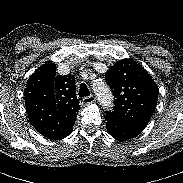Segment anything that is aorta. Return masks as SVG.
Returning <instances> with one entry per match:
<instances>
[{
	"instance_id": "obj_1",
	"label": "aorta",
	"mask_w": 183,
	"mask_h": 183,
	"mask_svg": "<svg viewBox=\"0 0 183 183\" xmlns=\"http://www.w3.org/2000/svg\"><path fill=\"white\" fill-rule=\"evenodd\" d=\"M93 91L104 109H110L113 105V96L110 88L104 82H97L93 85Z\"/></svg>"
}]
</instances>
